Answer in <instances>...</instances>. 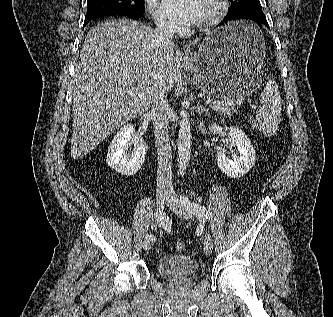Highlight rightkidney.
<instances>
[{"mask_svg":"<svg viewBox=\"0 0 333 317\" xmlns=\"http://www.w3.org/2000/svg\"><path fill=\"white\" fill-rule=\"evenodd\" d=\"M134 143L131 154L128 147ZM146 144L135 136V128L125 125L114 136L107 152V165L124 176H133L141 168L146 156Z\"/></svg>","mask_w":333,"mask_h":317,"instance_id":"right-kidney-1","label":"right kidney"}]
</instances>
